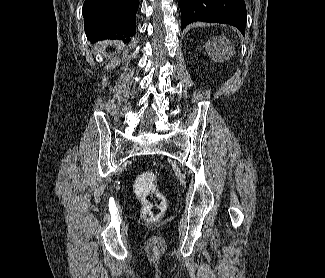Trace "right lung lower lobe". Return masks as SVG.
<instances>
[{
  "instance_id": "obj_1",
  "label": "right lung lower lobe",
  "mask_w": 325,
  "mask_h": 278,
  "mask_svg": "<svg viewBox=\"0 0 325 278\" xmlns=\"http://www.w3.org/2000/svg\"><path fill=\"white\" fill-rule=\"evenodd\" d=\"M139 0H85L83 17L88 39H120L127 42L136 33ZM127 39V40H126Z\"/></svg>"
}]
</instances>
